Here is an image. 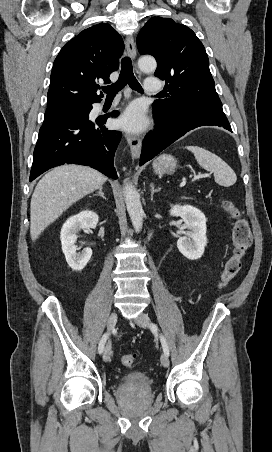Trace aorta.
I'll return each instance as SVG.
<instances>
[{"label":"aorta","instance_id":"aorta-1","mask_svg":"<svg viewBox=\"0 0 272 452\" xmlns=\"http://www.w3.org/2000/svg\"><path fill=\"white\" fill-rule=\"evenodd\" d=\"M138 66L143 72H153L157 67V63L153 57L144 56L138 60ZM124 190L125 203L133 228L136 232H140L143 226L144 211L139 194L132 184H126Z\"/></svg>","mask_w":272,"mask_h":452}]
</instances>
